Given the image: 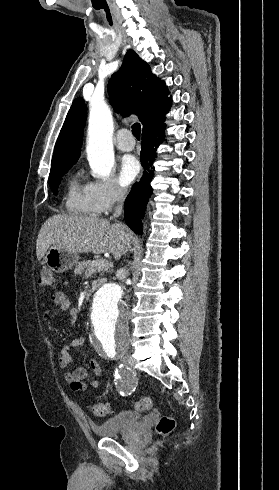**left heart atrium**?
Instances as JSON below:
<instances>
[{"label": "left heart atrium", "instance_id": "left-heart-atrium-1", "mask_svg": "<svg viewBox=\"0 0 279 490\" xmlns=\"http://www.w3.org/2000/svg\"><path fill=\"white\" fill-rule=\"evenodd\" d=\"M140 172V163L134 156H123L120 163V180L123 184H130Z\"/></svg>", "mask_w": 279, "mask_h": 490}]
</instances>
